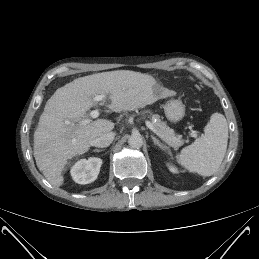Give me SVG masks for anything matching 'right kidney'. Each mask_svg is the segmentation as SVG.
I'll return each mask as SVG.
<instances>
[{
  "mask_svg": "<svg viewBox=\"0 0 259 259\" xmlns=\"http://www.w3.org/2000/svg\"><path fill=\"white\" fill-rule=\"evenodd\" d=\"M102 160L97 157L81 159L71 168V176L78 184H89L97 179Z\"/></svg>",
  "mask_w": 259,
  "mask_h": 259,
  "instance_id": "ca27d5eb",
  "label": "right kidney"
}]
</instances>
